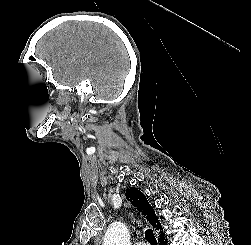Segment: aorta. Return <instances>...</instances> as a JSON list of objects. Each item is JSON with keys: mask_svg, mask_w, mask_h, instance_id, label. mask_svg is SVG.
<instances>
[{"mask_svg": "<svg viewBox=\"0 0 251 245\" xmlns=\"http://www.w3.org/2000/svg\"><path fill=\"white\" fill-rule=\"evenodd\" d=\"M103 245H130V235L125 224L113 222L107 229Z\"/></svg>", "mask_w": 251, "mask_h": 245, "instance_id": "762f6f07", "label": "aorta"}]
</instances>
